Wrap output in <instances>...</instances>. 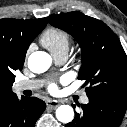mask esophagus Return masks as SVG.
<instances>
[{
	"mask_svg": "<svg viewBox=\"0 0 127 127\" xmlns=\"http://www.w3.org/2000/svg\"><path fill=\"white\" fill-rule=\"evenodd\" d=\"M46 105L48 108L50 109H56L60 104L58 101H55V100H48L46 102Z\"/></svg>",
	"mask_w": 127,
	"mask_h": 127,
	"instance_id": "1",
	"label": "esophagus"
}]
</instances>
